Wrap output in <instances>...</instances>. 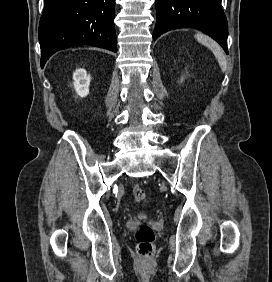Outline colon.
I'll return each mask as SVG.
<instances>
[{"instance_id":"obj_1","label":"colon","mask_w":272,"mask_h":282,"mask_svg":"<svg viewBox=\"0 0 272 282\" xmlns=\"http://www.w3.org/2000/svg\"><path fill=\"white\" fill-rule=\"evenodd\" d=\"M132 191L137 201L145 200L146 195L141 186L138 184L133 185ZM154 238L153 230L147 225H141L135 233L137 251L143 261L151 260L154 254Z\"/></svg>"}]
</instances>
